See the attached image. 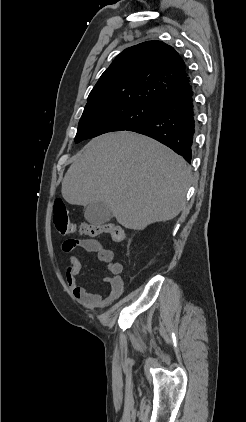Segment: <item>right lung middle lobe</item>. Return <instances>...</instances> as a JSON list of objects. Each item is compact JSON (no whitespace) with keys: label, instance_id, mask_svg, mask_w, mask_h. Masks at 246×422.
<instances>
[{"label":"right lung middle lobe","instance_id":"dd1d6c3e","mask_svg":"<svg viewBox=\"0 0 246 422\" xmlns=\"http://www.w3.org/2000/svg\"><path fill=\"white\" fill-rule=\"evenodd\" d=\"M157 114V105L138 101H116L85 107L75 142L113 131H123Z\"/></svg>","mask_w":246,"mask_h":422}]
</instances>
